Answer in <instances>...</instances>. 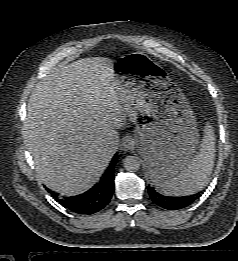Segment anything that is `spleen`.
I'll list each match as a JSON object with an SVG mask.
<instances>
[{
  "label": "spleen",
  "mask_w": 238,
  "mask_h": 261,
  "mask_svg": "<svg viewBox=\"0 0 238 261\" xmlns=\"http://www.w3.org/2000/svg\"><path fill=\"white\" fill-rule=\"evenodd\" d=\"M200 149L186 167L174 178L159 184L162 193L170 196L192 195L202 190L208 183L215 160V134L207 123Z\"/></svg>",
  "instance_id": "1"
}]
</instances>
